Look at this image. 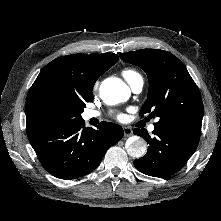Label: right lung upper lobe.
<instances>
[{
    "label": "right lung upper lobe",
    "instance_id": "right-lung-upper-lobe-1",
    "mask_svg": "<svg viewBox=\"0 0 221 221\" xmlns=\"http://www.w3.org/2000/svg\"><path fill=\"white\" fill-rule=\"evenodd\" d=\"M118 61L113 53L74 54L54 59L46 65L31 86L25 104L27 133L42 126L36 108L41 96L59 92L80 101L93 99L98 77Z\"/></svg>",
    "mask_w": 221,
    "mask_h": 221
}]
</instances>
